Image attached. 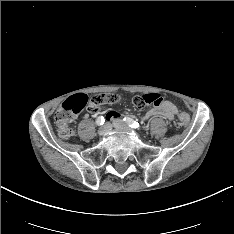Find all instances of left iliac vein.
<instances>
[{
    "mask_svg": "<svg viewBox=\"0 0 234 234\" xmlns=\"http://www.w3.org/2000/svg\"><path fill=\"white\" fill-rule=\"evenodd\" d=\"M113 126L118 130L127 131V132L131 131L129 126L120 119H115L113 121Z\"/></svg>",
    "mask_w": 234,
    "mask_h": 234,
    "instance_id": "left-iliac-vein-1",
    "label": "left iliac vein"
}]
</instances>
